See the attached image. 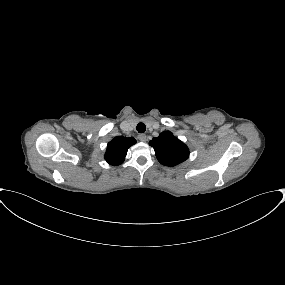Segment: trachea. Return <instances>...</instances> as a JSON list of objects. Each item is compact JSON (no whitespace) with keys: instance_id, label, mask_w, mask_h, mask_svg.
<instances>
[{"instance_id":"3493384b","label":"trachea","mask_w":285,"mask_h":285,"mask_svg":"<svg viewBox=\"0 0 285 285\" xmlns=\"http://www.w3.org/2000/svg\"><path fill=\"white\" fill-rule=\"evenodd\" d=\"M136 129L139 133H144L146 131V126L144 123H139Z\"/></svg>"}]
</instances>
